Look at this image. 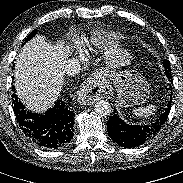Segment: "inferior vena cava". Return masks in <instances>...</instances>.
I'll list each match as a JSON object with an SVG mask.
<instances>
[{
  "instance_id": "inferior-vena-cava-1",
  "label": "inferior vena cava",
  "mask_w": 183,
  "mask_h": 183,
  "mask_svg": "<svg viewBox=\"0 0 183 183\" xmlns=\"http://www.w3.org/2000/svg\"><path fill=\"white\" fill-rule=\"evenodd\" d=\"M81 71V64L76 59L68 60L63 66V73L68 76H76Z\"/></svg>"
}]
</instances>
